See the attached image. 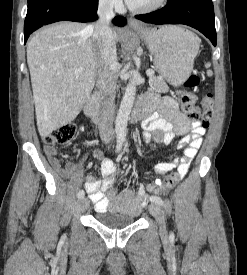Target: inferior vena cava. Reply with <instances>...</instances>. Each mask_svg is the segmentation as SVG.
<instances>
[{
	"label": "inferior vena cava",
	"mask_w": 247,
	"mask_h": 275,
	"mask_svg": "<svg viewBox=\"0 0 247 275\" xmlns=\"http://www.w3.org/2000/svg\"><path fill=\"white\" fill-rule=\"evenodd\" d=\"M114 0H99L98 15L100 20L94 26H88L92 33L93 46L97 54H102L103 61L96 66L97 87L102 101L99 134L102 142L113 140L112 123L115 113L116 77L114 70L118 64L116 45L110 21L114 18Z\"/></svg>",
	"instance_id": "1"
}]
</instances>
